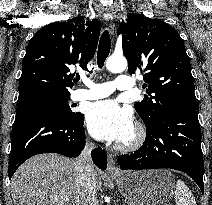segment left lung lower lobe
I'll return each mask as SVG.
<instances>
[{"label":"left lung lower lobe","mask_w":212,"mask_h":205,"mask_svg":"<svg viewBox=\"0 0 212 205\" xmlns=\"http://www.w3.org/2000/svg\"><path fill=\"white\" fill-rule=\"evenodd\" d=\"M197 110V102H184L170 108L146 127V140L140 149L118 157L120 168L183 171L203 193V156Z\"/></svg>","instance_id":"0a47b994"}]
</instances>
